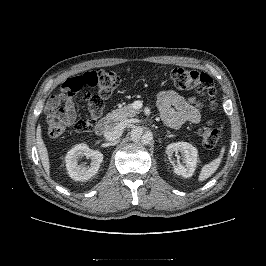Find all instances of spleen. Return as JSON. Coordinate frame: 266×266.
I'll return each instance as SVG.
<instances>
[{
  "instance_id": "spleen-1",
  "label": "spleen",
  "mask_w": 266,
  "mask_h": 266,
  "mask_svg": "<svg viewBox=\"0 0 266 266\" xmlns=\"http://www.w3.org/2000/svg\"><path fill=\"white\" fill-rule=\"evenodd\" d=\"M225 153V146H223L220 150L219 156L215 159H213L212 161H210L209 163L205 164L199 174L198 180L200 182L205 181L206 179H208L209 177H211L219 168L221 162H222V158L224 156Z\"/></svg>"
}]
</instances>
